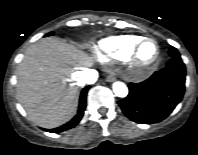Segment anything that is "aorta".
<instances>
[{
  "mask_svg": "<svg viewBox=\"0 0 198 155\" xmlns=\"http://www.w3.org/2000/svg\"><path fill=\"white\" fill-rule=\"evenodd\" d=\"M112 89L114 94L120 98H125L129 92L128 87L123 82L120 81L114 82L112 85Z\"/></svg>",
  "mask_w": 198,
  "mask_h": 155,
  "instance_id": "aorta-1",
  "label": "aorta"
}]
</instances>
